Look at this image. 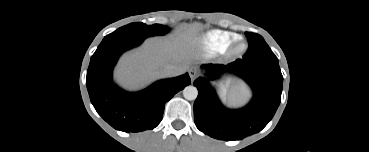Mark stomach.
<instances>
[{
  "instance_id": "0dacf381",
  "label": "stomach",
  "mask_w": 369,
  "mask_h": 152,
  "mask_svg": "<svg viewBox=\"0 0 369 152\" xmlns=\"http://www.w3.org/2000/svg\"><path fill=\"white\" fill-rule=\"evenodd\" d=\"M225 92H226V89H225V87H223V88H222V93H223V95H225Z\"/></svg>"
}]
</instances>
